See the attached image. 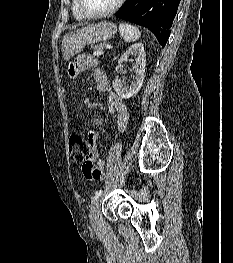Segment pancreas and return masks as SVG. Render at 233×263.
I'll list each match as a JSON object with an SVG mask.
<instances>
[{
    "label": "pancreas",
    "instance_id": "obj_1",
    "mask_svg": "<svg viewBox=\"0 0 233 263\" xmlns=\"http://www.w3.org/2000/svg\"><path fill=\"white\" fill-rule=\"evenodd\" d=\"M105 47V43H100L94 46V50H102Z\"/></svg>",
    "mask_w": 233,
    "mask_h": 263
}]
</instances>
